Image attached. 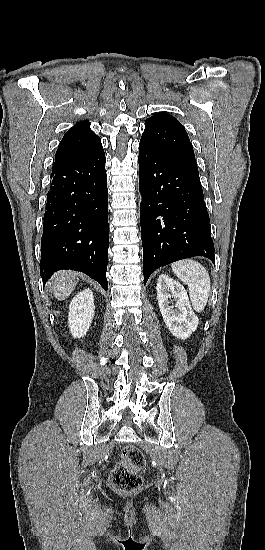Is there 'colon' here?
I'll return each instance as SVG.
<instances>
[{
	"label": "colon",
	"mask_w": 265,
	"mask_h": 550,
	"mask_svg": "<svg viewBox=\"0 0 265 550\" xmlns=\"http://www.w3.org/2000/svg\"><path fill=\"white\" fill-rule=\"evenodd\" d=\"M145 463V457L139 448L133 445L124 447L119 461L110 473V486L120 492L139 489L142 485L140 471L144 468Z\"/></svg>",
	"instance_id": "5ec220e1"
}]
</instances>
